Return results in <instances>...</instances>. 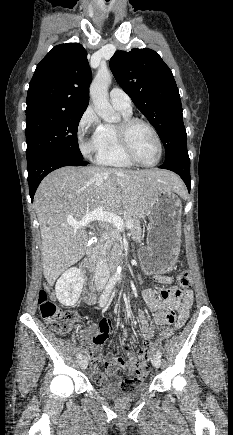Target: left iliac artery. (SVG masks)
Instances as JSON below:
<instances>
[{"mask_svg":"<svg viewBox=\"0 0 233 435\" xmlns=\"http://www.w3.org/2000/svg\"><path fill=\"white\" fill-rule=\"evenodd\" d=\"M156 355H158L159 357H161L162 353L160 351L156 352Z\"/></svg>","mask_w":233,"mask_h":435,"instance_id":"obj_1","label":"left iliac artery"}]
</instances>
